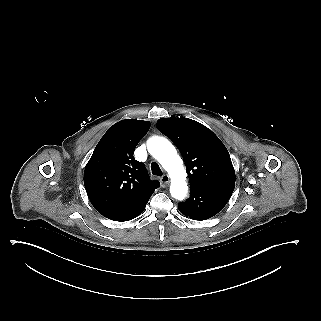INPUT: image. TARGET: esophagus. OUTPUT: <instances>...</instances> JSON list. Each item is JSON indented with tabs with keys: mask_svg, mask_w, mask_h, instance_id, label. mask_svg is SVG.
<instances>
[{
	"mask_svg": "<svg viewBox=\"0 0 321 321\" xmlns=\"http://www.w3.org/2000/svg\"><path fill=\"white\" fill-rule=\"evenodd\" d=\"M160 183L163 188L167 187L170 183L169 175L168 174L163 175L160 179Z\"/></svg>",
	"mask_w": 321,
	"mask_h": 321,
	"instance_id": "1",
	"label": "esophagus"
}]
</instances>
